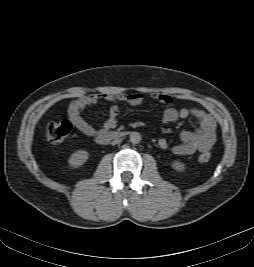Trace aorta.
<instances>
[{"label":"aorta","mask_w":254,"mask_h":267,"mask_svg":"<svg viewBox=\"0 0 254 267\" xmlns=\"http://www.w3.org/2000/svg\"><path fill=\"white\" fill-rule=\"evenodd\" d=\"M141 135L138 132H132L130 134V142L133 144H138L141 142Z\"/></svg>","instance_id":"aorta-1"}]
</instances>
